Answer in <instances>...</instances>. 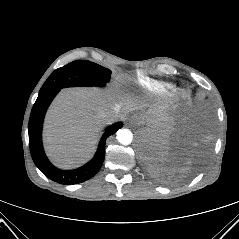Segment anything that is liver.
<instances>
[{"label": "liver", "instance_id": "obj_1", "mask_svg": "<svg viewBox=\"0 0 239 239\" xmlns=\"http://www.w3.org/2000/svg\"><path fill=\"white\" fill-rule=\"evenodd\" d=\"M138 109H142V105L117 90L65 89L55 98L46 115V152L61 168L79 166L91 157L100 131L107 123L101 117L102 112L116 110L118 118L124 119L129 111Z\"/></svg>", "mask_w": 239, "mask_h": 239}]
</instances>
